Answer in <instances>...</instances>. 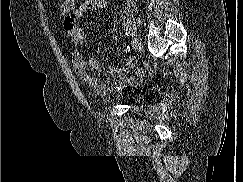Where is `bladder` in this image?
<instances>
[{
    "label": "bladder",
    "mask_w": 243,
    "mask_h": 182,
    "mask_svg": "<svg viewBox=\"0 0 243 182\" xmlns=\"http://www.w3.org/2000/svg\"><path fill=\"white\" fill-rule=\"evenodd\" d=\"M128 100L131 102H139L141 99V95L138 93H131L128 95Z\"/></svg>",
    "instance_id": "31cf9c89"
}]
</instances>
